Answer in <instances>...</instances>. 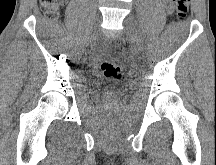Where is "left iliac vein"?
<instances>
[{"label":"left iliac vein","instance_id":"1","mask_svg":"<svg viewBox=\"0 0 216 165\" xmlns=\"http://www.w3.org/2000/svg\"><path fill=\"white\" fill-rule=\"evenodd\" d=\"M124 30L125 34L128 37L129 41L131 42L134 50L137 53H140L142 51V41L140 39L139 33L132 22L131 19L126 18L124 20Z\"/></svg>","mask_w":216,"mask_h":165}]
</instances>
